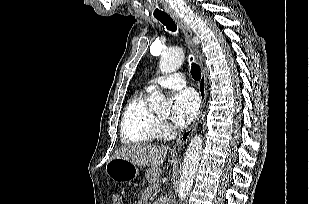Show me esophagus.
<instances>
[{
	"mask_svg": "<svg viewBox=\"0 0 309 204\" xmlns=\"http://www.w3.org/2000/svg\"><path fill=\"white\" fill-rule=\"evenodd\" d=\"M172 18L175 20V22L178 24V26L180 27V29L182 30L184 36H185V42L188 46V48L190 49L191 54L193 55L194 59L196 60V62L200 65V67H203V61H202V57L200 54V51L198 49V44H199V38L198 37H193L192 31L190 29V27L188 26V24L182 19L180 18V16L176 13H172L171 14ZM199 95H200V110L193 122V124L191 125L190 128H188L176 141L175 146L180 148L182 147L184 144L187 143V141L189 140V138L192 136L193 132L195 131L198 123H199V119L202 115V111L205 107L206 104V98H207V81H206V75L205 72L202 70V75H201V79L199 81Z\"/></svg>",
	"mask_w": 309,
	"mask_h": 204,
	"instance_id": "esophagus-1",
	"label": "esophagus"
}]
</instances>
